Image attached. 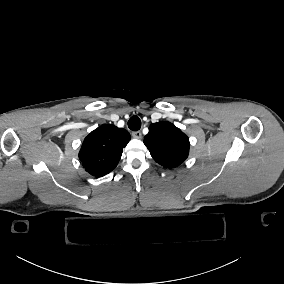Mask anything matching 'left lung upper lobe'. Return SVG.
<instances>
[{"label":"left lung upper lobe","mask_w":284,"mask_h":284,"mask_svg":"<svg viewBox=\"0 0 284 284\" xmlns=\"http://www.w3.org/2000/svg\"><path fill=\"white\" fill-rule=\"evenodd\" d=\"M144 144L153 159L168 168L182 164L188 157L190 146L188 137L169 122L151 124Z\"/></svg>","instance_id":"5c2ea615"}]
</instances>
